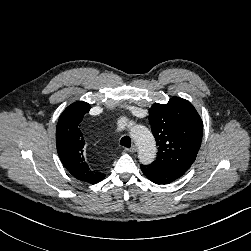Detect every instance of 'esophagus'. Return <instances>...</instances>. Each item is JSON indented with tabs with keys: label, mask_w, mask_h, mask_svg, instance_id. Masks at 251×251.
Segmentation results:
<instances>
[{
	"label": "esophagus",
	"mask_w": 251,
	"mask_h": 251,
	"mask_svg": "<svg viewBox=\"0 0 251 251\" xmlns=\"http://www.w3.org/2000/svg\"><path fill=\"white\" fill-rule=\"evenodd\" d=\"M128 152L135 153L137 151L136 145H132L129 149H127Z\"/></svg>",
	"instance_id": "1"
}]
</instances>
